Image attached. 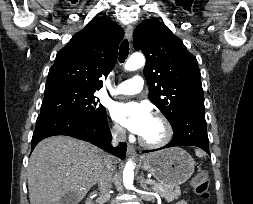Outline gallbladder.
<instances>
[{"label": "gallbladder", "mask_w": 253, "mask_h": 204, "mask_svg": "<svg viewBox=\"0 0 253 204\" xmlns=\"http://www.w3.org/2000/svg\"><path fill=\"white\" fill-rule=\"evenodd\" d=\"M75 201V195L73 193H67L61 198L59 204H76Z\"/></svg>", "instance_id": "1"}]
</instances>
